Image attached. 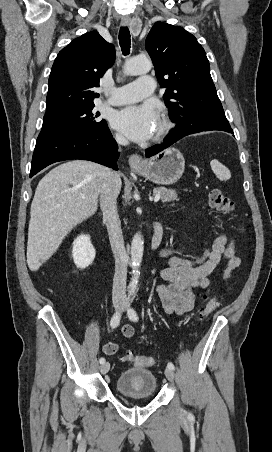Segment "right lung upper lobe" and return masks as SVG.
<instances>
[{
  "label": "right lung upper lobe",
  "instance_id": "cb5924a9",
  "mask_svg": "<svg viewBox=\"0 0 272 452\" xmlns=\"http://www.w3.org/2000/svg\"><path fill=\"white\" fill-rule=\"evenodd\" d=\"M115 60V48L97 31L74 39L57 55L51 69L46 114L91 105L100 78Z\"/></svg>",
  "mask_w": 272,
  "mask_h": 452
}]
</instances>
